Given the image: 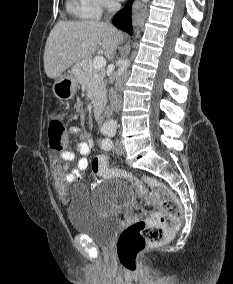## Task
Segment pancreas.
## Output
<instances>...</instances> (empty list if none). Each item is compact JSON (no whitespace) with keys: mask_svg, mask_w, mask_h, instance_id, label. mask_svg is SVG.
Listing matches in <instances>:
<instances>
[{"mask_svg":"<svg viewBox=\"0 0 233 284\" xmlns=\"http://www.w3.org/2000/svg\"><path fill=\"white\" fill-rule=\"evenodd\" d=\"M73 72L87 91V97L94 106H103L106 101L105 72L95 69L89 60H83L73 67Z\"/></svg>","mask_w":233,"mask_h":284,"instance_id":"1","label":"pancreas"}]
</instances>
